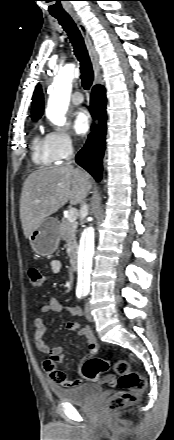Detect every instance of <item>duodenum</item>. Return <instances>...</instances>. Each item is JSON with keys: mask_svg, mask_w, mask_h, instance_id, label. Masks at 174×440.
I'll return each instance as SVG.
<instances>
[{"mask_svg": "<svg viewBox=\"0 0 174 440\" xmlns=\"http://www.w3.org/2000/svg\"><path fill=\"white\" fill-rule=\"evenodd\" d=\"M70 267H71V269L74 270V271L78 270L79 264H78V258H77V255H76V254H73V255L71 256V259H70Z\"/></svg>", "mask_w": 174, "mask_h": 440, "instance_id": "obj_1", "label": "duodenum"}]
</instances>
